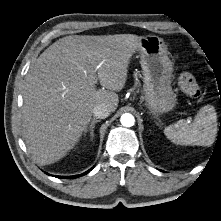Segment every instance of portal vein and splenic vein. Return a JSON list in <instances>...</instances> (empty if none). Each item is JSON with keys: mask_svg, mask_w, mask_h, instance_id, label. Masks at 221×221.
Listing matches in <instances>:
<instances>
[{"mask_svg": "<svg viewBox=\"0 0 221 221\" xmlns=\"http://www.w3.org/2000/svg\"><path fill=\"white\" fill-rule=\"evenodd\" d=\"M99 67V66H98ZM97 81H93V84H96Z\"/></svg>", "mask_w": 221, "mask_h": 221, "instance_id": "1", "label": "portal vein and splenic vein"}]
</instances>
